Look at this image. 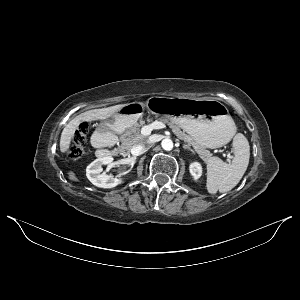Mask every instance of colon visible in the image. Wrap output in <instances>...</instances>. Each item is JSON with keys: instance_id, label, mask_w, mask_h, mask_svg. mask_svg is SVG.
Wrapping results in <instances>:
<instances>
[{"instance_id": "5ec220e1", "label": "colon", "mask_w": 300, "mask_h": 300, "mask_svg": "<svg viewBox=\"0 0 300 300\" xmlns=\"http://www.w3.org/2000/svg\"><path fill=\"white\" fill-rule=\"evenodd\" d=\"M87 132L88 125L81 123L68 147V156L70 159L75 160L83 155L87 143Z\"/></svg>"}]
</instances>
